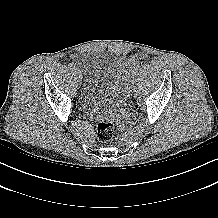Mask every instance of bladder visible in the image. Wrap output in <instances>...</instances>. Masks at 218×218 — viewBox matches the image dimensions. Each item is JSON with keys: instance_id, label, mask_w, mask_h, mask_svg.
Returning a JSON list of instances; mask_svg holds the SVG:
<instances>
[{"instance_id": "1", "label": "bladder", "mask_w": 218, "mask_h": 218, "mask_svg": "<svg viewBox=\"0 0 218 218\" xmlns=\"http://www.w3.org/2000/svg\"><path fill=\"white\" fill-rule=\"evenodd\" d=\"M76 67L83 76L81 101L92 112L109 115L118 100L120 87L131 66L118 57L79 53Z\"/></svg>"}]
</instances>
